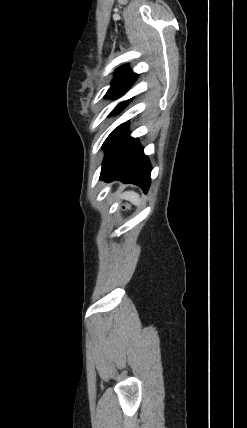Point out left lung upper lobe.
<instances>
[{
	"label": "left lung upper lobe",
	"instance_id": "1",
	"mask_svg": "<svg viewBox=\"0 0 247 428\" xmlns=\"http://www.w3.org/2000/svg\"><path fill=\"white\" fill-rule=\"evenodd\" d=\"M137 79V74L132 73L126 66H122L118 69L114 80L112 81L111 87L106 93V97L116 98L123 94ZM128 101L122 102L111 112V114L121 109Z\"/></svg>",
	"mask_w": 247,
	"mask_h": 428
}]
</instances>
